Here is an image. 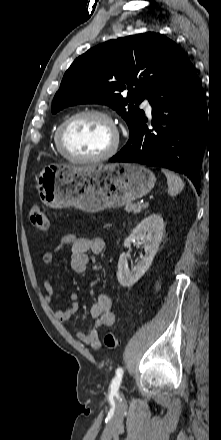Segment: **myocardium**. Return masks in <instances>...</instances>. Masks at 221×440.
Wrapping results in <instances>:
<instances>
[{
	"instance_id": "myocardium-1",
	"label": "myocardium",
	"mask_w": 221,
	"mask_h": 440,
	"mask_svg": "<svg viewBox=\"0 0 221 440\" xmlns=\"http://www.w3.org/2000/svg\"><path fill=\"white\" fill-rule=\"evenodd\" d=\"M84 116H97L105 119L111 126L113 133H114V139L112 145L109 147L108 150H106L104 153L93 156V157H79L72 155L65 146V132L68 126L76 119L84 117ZM120 144V132L119 129L112 118V116L100 109H83L80 110L69 117H67L58 127L57 130V147L59 152L64 156L66 159H68L71 162L75 163H94V162H100L107 160L111 158L113 155L116 154Z\"/></svg>"
}]
</instances>
